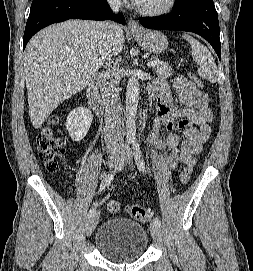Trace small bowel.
Masks as SVG:
<instances>
[{
    "label": "small bowel",
    "instance_id": "c3829d8e",
    "mask_svg": "<svg viewBox=\"0 0 253 271\" xmlns=\"http://www.w3.org/2000/svg\"><path fill=\"white\" fill-rule=\"evenodd\" d=\"M180 101L186 105L178 108L172 105V92L164 78H157L151 92L157 97V115L153 122V138L158 140L159 132L165 127L169 134L164 139V145L169 150L168 164L175 167L178 162L188 164L193 156L202 151L203 144L211 136V123L214 119L208 106L207 96L200 92L197 83L186 76L179 75L173 82ZM183 130L184 140L175 132Z\"/></svg>",
    "mask_w": 253,
    "mask_h": 271
}]
</instances>
